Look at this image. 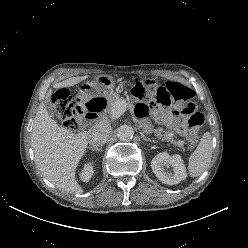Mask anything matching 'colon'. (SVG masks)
<instances>
[{"label":"colon","mask_w":248,"mask_h":248,"mask_svg":"<svg viewBox=\"0 0 248 248\" xmlns=\"http://www.w3.org/2000/svg\"><path fill=\"white\" fill-rule=\"evenodd\" d=\"M131 95L139 104H159L172 106L178 104V111L188 117L187 126L188 143L190 148H195L198 143L196 130L204 123V117L197 112L196 105L191 101L194 92L191 88L179 83L168 82L166 86L159 87L150 92L142 83L135 84ZM53 104L57 118L70 130H75L79 120L83 117L84 108L77 103L66 90H59L53 95Z\"/></svg>","instance_id":"5ec220e1"}]
</instances>
